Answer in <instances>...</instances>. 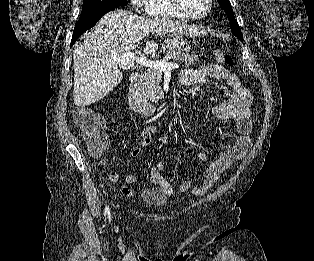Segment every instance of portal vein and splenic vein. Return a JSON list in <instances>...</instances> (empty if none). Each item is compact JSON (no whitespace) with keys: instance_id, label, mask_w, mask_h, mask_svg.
Segmentation results:
<instances>
[{"instance_id":"18ae733b","label":"portal vein and splenic vein","mask_w":314,"mask_h":261,"mask_svg":"<svg viewBox=\"0 0 314 261\" xmlns=\"http://www.w3.org/2000/svg\"><path fill=\"white\" fill-rule=\"evenodd\" d=\"M114 61L122 66H128L133 63H136L144 67L159 69L163 72H170L173 69L179 68V65L176 63L149 60V59H146L145 57H139L137 56L136 53H133V52L124 54L123 56L119 58H114Z\"/></svg>"}]
</instances>
